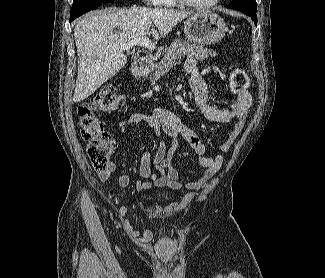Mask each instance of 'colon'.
Wrapping results in <instances>:
<instances>
[{"instance_id": "1", "label": "colon", "mask_w": 325, "mask_h": 278, "mask_svg": "<svg viewBox=\"0 0 325 278\" xmlns=\"http://www.w3.org/2000/svg\"><path fill=\"white\" fill-rule=\"evenodd\" d=\"M248 84L249 78L244 70L236 68L230 72V87L235 94L247 88ZM124 103V96L115 87L108 86L80 104L77 109L81 135L87 143L88 157L93 168L99 172L106 170L116 145L97 114L119 111Z\"/></svg>"}]
</instances>
